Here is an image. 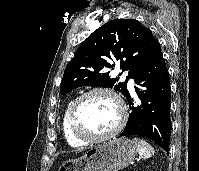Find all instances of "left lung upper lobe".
<instances>
[{
  "label": "left lung upper lobe",
  "instance_id": "5c2ea615",
  "mask_svg": "<svg viewBox=\"0 0 199 171\" xmlns=\"http://www.w3.org/2000/svg\"><path fill=\"white\" fill-rule=\"evenodd\" d=\"M151 30L134 19H115L95 30L78 48L65 68L60 94L80 86L113 87L124 96L127 82L150 57L158 45ZM120 64L129 71L124 83L110 78L106 68Z\"/></svg>",
  "mask_w": 199,
  "mask_h": 171
}]
</instances>
